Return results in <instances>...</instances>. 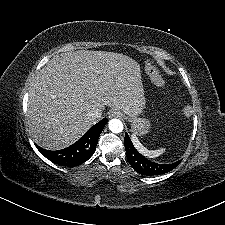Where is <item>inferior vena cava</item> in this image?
<instances>
[{"label": "inferior vena cava", "instance_id": "1", "mask_svg": "<svg viewBox=\"0 0 225 225\" xmlns=\"http://www.w3.org/2000/svg\"><path fill=\"white\" fill-rule=\"evenodd\" d=\"M103 104H92L90 105L89 114L95 117H101V112L104 109Z\"/></svg>", "mask_w": 225, "mask_h": 225}]
</instances>
